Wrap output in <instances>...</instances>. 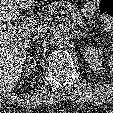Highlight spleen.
Here are the masks:
<instances>
[{
  "mask_svg": "<svg viewBox=\"0 0 113 113\" xmlns=\"http://www.w3.org/2000/svg\"><path fill=\"white\" fill-rule=\"evenodd\" d=\"M109 67L111 71L113 72V54L110 56V59H109Z\"/></svg>",
  "mask_w": 113,
  "mask_h": 113,
  "instance_id": "1",
  "label": "spleen"
}]
</instances>
